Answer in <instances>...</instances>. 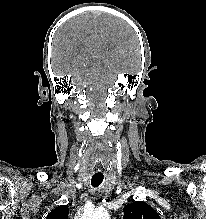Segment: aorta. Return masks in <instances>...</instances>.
Listing matches in <instances>:
<instances>
[{
	"label": "aorta",
	"mask_w": 206,
	"mask_h": 219,
	"mask_svg": "<svg viewBox=\"0 0 206 219\" xmlns=\"http://www.w3.org/2000/svg\"><path fill=\"white\" fill-rule=\"evenodd\" d=\"M82 219H110V215L105 209H97L91 213H86Z\"/></svg>",
	"instance_id": "aorta-1"
}]
</instances>
